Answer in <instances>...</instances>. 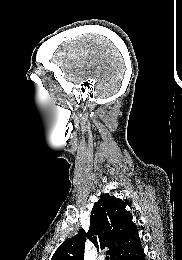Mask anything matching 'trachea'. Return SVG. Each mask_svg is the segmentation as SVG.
Returning a JSON list of instances; mask_svg holds the SVG:
<instances>
[{
	"instance_id": "obj_1",
	"label": "trachea",
	"mask_w": 182,
	"mask_h": 260,
	"mask_svg": "<svg viewBox=\"0 0 182 260\" xmlns=\"http://www.w3.org/2000/svg\"><path fill=\"white\" fill-rule=\"evenodd\" d=\"M105 260H110V259H109V256H107V257L105 258Z\"/></svg>"
}]
</instances>
